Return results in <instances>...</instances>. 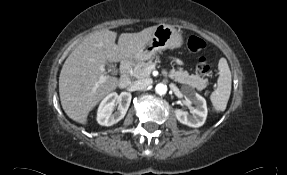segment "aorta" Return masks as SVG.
Returning a JSON list of instances; mask_svg holds the SVG:
<instances>
[{
  "label": "aorta",
  "mask_w": 287,
  "mask_h": 175,
  "mask_svg": "<svg viewBox=\"0 0 287 175\" xmlns=\"http://www.w3.org/2000/svg\"><path fill=\"white\" fill-rule=\"evenodd\" d=\"M155 91L159 95H165L167 92V86L163 83H159L156 85Z\"/></svg>",
  "instance_id": "1"
}]
</instances>
